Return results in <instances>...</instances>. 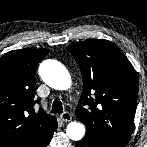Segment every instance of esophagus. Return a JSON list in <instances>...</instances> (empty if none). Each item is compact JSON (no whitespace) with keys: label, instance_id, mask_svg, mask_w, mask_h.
Wrapping results in <instances>:
<instances>
[{"label":"esophagus","instance_id":"esophagus-1","mask_svg":"<svg viewBox=\"0 0 147 147\" xmlns=\"http://www.w3.org/2000/svg\"><path fill=\"white\" fill-rule=\"evenodd\" d=\"M60 118L62 119V121L69 122L71 121L72 116L69 112H64L60 115Z\"/></svg>","mask_w":147,"mask_h":147}]
</instances>
